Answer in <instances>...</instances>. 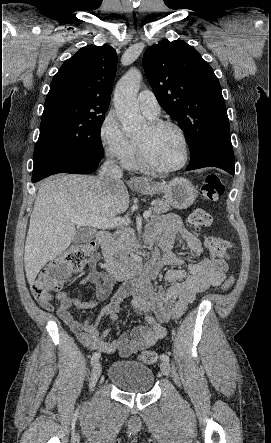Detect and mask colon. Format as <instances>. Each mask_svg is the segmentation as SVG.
<instances>
[{
	"instance_id": "obj_1",
	"label": "colon",
	"mask_w": 271,
	"mask_h": 443,
	"mask_svg": "<svg viewBox=\"0 0 271 443\" xmlns=\"http://www.w3.org/2000/svg\"><path fill=\"white\" fill-rule=\"evenodd\" d=\"M224 193V185L216 175L207 176L201 183L200 194L203 199L213 202ZM211 215L202 208L195 209L190 217V224L197 230L211 226ZM210 255L217 259H228L232 244L219 236H208L205 239ZM96 245L86 242L68 249L61 256L49 262L31 284V292L37 298L49 296L51 292L60 290L69 281L73 273L80 271L95 256ZM234 284V278L228 277L222 284L221 290L227 291ZM143 363L153 364L158 356L152 351H143L139 354Z\"/></svg>"
}]
</instances>
